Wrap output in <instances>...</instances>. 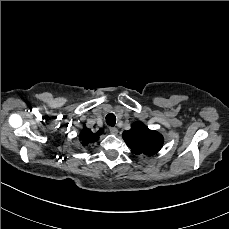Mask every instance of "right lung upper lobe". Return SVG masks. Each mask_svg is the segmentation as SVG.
I'll list each match as a JSON object with an SVG mask.
<instances>
[{"mask_svg":"<svg viewBox=\"0 0 229 229\" xmlns=\"http://www.w3.org/2000/svg\"><path fill=\"white\" fill-rule=\"evenodd\" d=\"M103 132L104 130L100 129L97 133H93L90 129L84 126L79 134L80 145L86 147L89 144L96 142L99 139V135H101Z\"/></svg>","mask_w":229,"mask_h":229,"instance_id":"cb5924a9","label":"right lung upper lobe"}]
</instances>
